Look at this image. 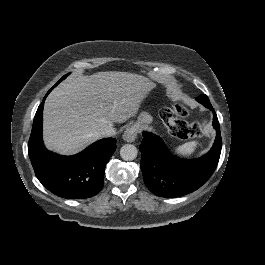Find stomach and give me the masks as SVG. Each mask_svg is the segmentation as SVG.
<instances>
[{"label":"stomach","mask_w":265,"mask_h":265,"mask_svg":"<svg viewBox=\"0 0 265 265\" xmlns=\"http://www.w3.org/2000/svg\"><path fill=\"white\" fill-rule=\"evenodd\" d=\"M153 121V117L148 112H141L135 125H138L142 130L146 129Z\"/></svg>","instance_id":"0dacf381"}]
</instances>
